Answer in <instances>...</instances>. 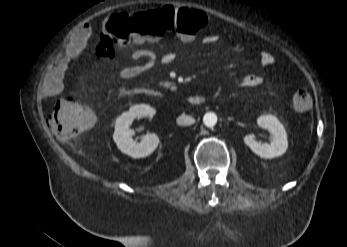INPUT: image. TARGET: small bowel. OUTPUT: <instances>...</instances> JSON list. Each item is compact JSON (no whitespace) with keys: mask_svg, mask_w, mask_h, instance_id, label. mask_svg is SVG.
I'll list each match as a JSON object with an SVG mask.
<instances>
[{"mask_svg":"<svg viewBox=\"0 0 347 247\" xmlns=\"http://www.w3.org/2000/svg\"><path fill=\"white\" fill-rule=\"evenodd\" d=\"M91 33L89 24H84L73 32L69 38L67 48L63 55L54 60L45 70L44 84L47 93L54 95L61 89L60 77L65 71L70 59L75 53L80 51L86 45ZM219 41V36L209 34L204 37L205 44H216ZM130 57L138 62L132 65L123 66L118 69L117 76L123 80H130L143 74L157 62L162 64H170L175 61L176 54L174 52H166L157 57L154 52L148 49H136L131 51ZM259 62L264 70L271 68L275 63L274 56L263 51L259 54ZM243 84L248 87H256L262 84L263 77L257 73H250L244 76Z\"/></svg>","mask_w":347,"mask_h":247,"instance_id":"obj_1","label":"small bowel"}]
</instances>
